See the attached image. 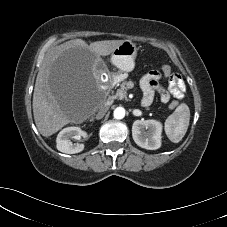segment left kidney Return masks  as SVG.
<instances>
[{"label":"left kidney","instance_id":"obj_1","mask_svg":"<svg viewBox=\"0 0 227 227\" xmlns=\"http://www.w3.org/2000/svg\"><path fill=\"white\" fill-rule=\"evenodd\" d=\"M162 124L156 120H136L132 125V136L135 143L147 150L161 147Z\"/></svg>","mask_w":227,"mask_h":227}]
</instances>
